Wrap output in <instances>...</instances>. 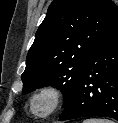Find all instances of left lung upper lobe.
<instances>
[{"instance_id": "obj_1", "label": "left lung upper lobe", "mask_w": 118, "mask_h": 123, "mask_svg": "<svg viewBox=\"0 0 118 123\" xmlns=\"http://www.w3.org/2000/svg\"><path fill=\"white\" fill-rule=\"evenodd\" d=\"M117 20L111 0H54L27 55L23 93L52 85L66 108L92 50Z\"/></svg>"}]
</instances>
